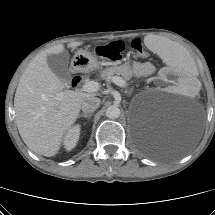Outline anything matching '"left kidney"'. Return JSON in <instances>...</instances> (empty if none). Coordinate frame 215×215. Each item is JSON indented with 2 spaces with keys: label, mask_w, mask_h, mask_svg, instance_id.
I'll return each mask as SVG.
<instances>
[{
  "label": "left kidney",
  "mask_w": 215,
  "mask_h": 215,
  "mask_svg": "<svg viewBox=\"0 0 215 215\" xmlns=\"http://www.w3.org/2000/svg\"><path fill=\"white\" fill-rule=\"evenodd\" d=\"M161 77L165 80L162 82L161 87L168 93L193 96L198 91L195 78L185 72L166 68L163 70Z\"/></svg>",
  "instance_id": "obj_1"
}]
</instances>
